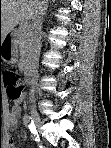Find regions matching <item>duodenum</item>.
<instances>
[{
	"label": "duodenum",
	"instance_id": "duodenum-1",
	"mask_svg": "<svg viewBox=\"0 0 111 148\" xmlns=\"http://www.w3.org/2000/svg\"><path fill=\"white\" fill-rule=\"evenodd\" d=\"M35 79H36L35 74H29V75H27V77H26V82H27L28 84H33V83L35 82Z\"/></svg>",
	"mask_w": 111,
	"mask_h": 148
}]
</instances>
